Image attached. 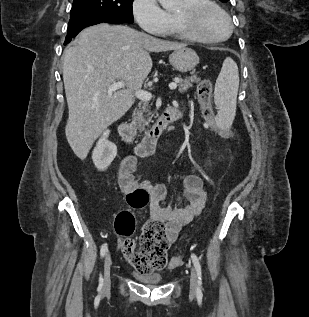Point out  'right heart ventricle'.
I'll use <instances>...</instances> for the list:
<instances>
[{"label": "right heart ventricle", "mask_w": 309, "mask_h": 317, "mask_svg": "<svg viewBox=\"0 0 309 317\" xmlns=\"http://www.w3.org/2000/svg\"><path fill=\"white\" fill-rule=\"evenodd\" d=\"M198 0H182L183 4H189V3H195ZM168 19H169V32L172 35H175L177 37L181 38H187L178 28L176 20H175V13H167Z\"/></svg>", "instance_id": "obj_1"}]
</instances>
